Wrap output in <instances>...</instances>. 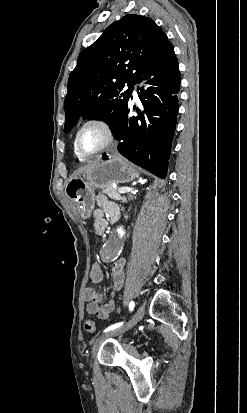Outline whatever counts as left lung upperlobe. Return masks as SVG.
Here are the masks:
<instances>
[{
	"instance_id": "obj_1",
	"label": "left lung upper lobe",
	"mask_w": 247,
	"mask_h": 413,
	"mask_svg": "<svg viewBox=\"0 0 247 413\" xmlns=\"http://www.w3.org/2000/svg\"><path fill=\"white\" fill-rule=\"evenodd\" d=\"M168 47L166 34L148 17L129 14L113 22L80 53L69 76L64 131L83 117L104 120L115 133L136 81Z\"/></svg>"
}]
</instances>
